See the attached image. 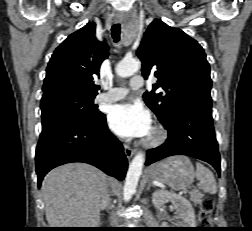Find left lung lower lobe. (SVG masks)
Here are the masks:
<instances>
[{
	"label": "left lung lower lobe",
	"instance_id": "obj_1",
	"mask_svg": "<svg viewBox=\"0 0 252 231\" xmlns=\"http://www.w3.org/2000/svg\"><path fill=\"white\" fill-rule=\"evenodd\" d=\"M168 138L147 151L146 165L173 155H187L210 163L220 175V155L211 106L190 102L178 106L163 122Z\"/></svg>",
	"mask_w": 252,
	"mask_h": 231
}]
</instances>
